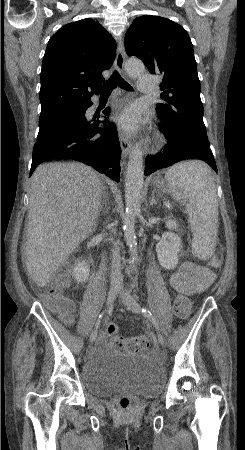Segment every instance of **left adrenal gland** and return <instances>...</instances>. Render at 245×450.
<instances>
[{"label": "left adrenal gland", "mask_w": 245, "mask_h": 450, "mask_svg": "<svg viewBox=\"0 0 245 450\" xmlns=\"http://www.w3.org/2000/svg\"><path fill=\"white\" fill-rule=\"evenodd\" d=\"M150 206H152L153 204H157V200L155 199V191L152 192L150 201H149Z\"/></svg>", "instance_id": "obj_1"}]
</instances>
